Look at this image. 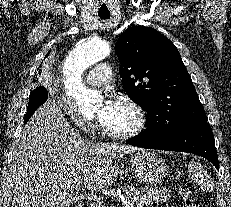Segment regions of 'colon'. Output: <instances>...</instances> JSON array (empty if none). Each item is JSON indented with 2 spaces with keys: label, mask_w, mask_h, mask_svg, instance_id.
<instances>
[{
  "label": "colon",
  "mask_w": 231,
  "mask_h": 207,
  "mask_svg": "<svg viewBox=\"0 0 231 207\" xmlns=\"http://www.w3.org/2000/svg\"><path fill=\"white\" fill-rule=\"evenodd\" d=\"M180 194L183 198V207H200V204L193 197V193L189 188H182Z\"/></svg>",
  "instance_id": "1"
}]
</instances>
